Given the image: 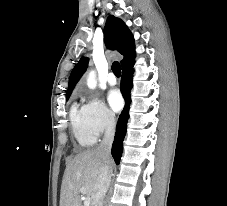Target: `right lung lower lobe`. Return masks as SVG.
<instances>
[{"label":"right lung lower lobe","instance_id":"1","mask_svg":"<svg viewBox=\"0 0 227 206\" xmlns=\"http://www.w3.org/2000/svg\"><path fill=\"white\" fill-rule=\"evenodd\" d=\"M133 65L134 61L122 68V79H121V90L126 102V105L121 112L114 137V142L112 145V156L116 162L119 164L120 158L123 151V140L127 131V121L129 118V105L131 103L130 90L133 87L132 77H133Z\"/></svg>","mask_w":227,"mask_h":206}]
</instances>
